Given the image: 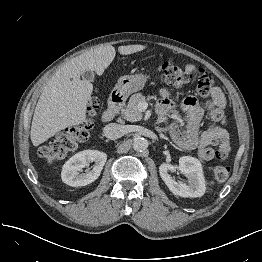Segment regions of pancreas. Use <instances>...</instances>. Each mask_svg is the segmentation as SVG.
Here are the masks:
<instances>
[{
    "mask_svg": "<svg viewBox=\"0 0 262 262\" xmlns=\"http://www.w3.org/2000/svg\"><path fill=\"white\" fill-rule=\"evenodd\" d=\"M145 101H146V97L141 93L132 95L130 97L128 105L124 109L121 110V116L130 122L141 120L143 115L138 105L139 103L145 102Z\"/></svg>",
    "mask_w": 262,
    "mask_h": 262,
    "instance_id": "obj_1",
    "label": "pancreas"
}]
</instances>
